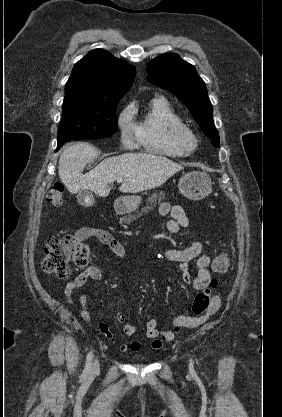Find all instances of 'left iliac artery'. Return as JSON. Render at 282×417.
I'll list each match as a JSON object with an SVG mask.
<instances>
[{
  "label": "left iliac artery",
  "mask_w": 282,
  "mask_h": 417,
  "mask_svg": "<svg viewBox=\"0 0 282 417\" xmlns=\"http://www.w3.org/2000/svg\"><path fill=\"white\" fill-rule=\"evenodd\" d=\"M190 363H193V360L192 359L190 360Z\"/></svg>",
  "instance_id": "44dca946"
}]
</instances>
